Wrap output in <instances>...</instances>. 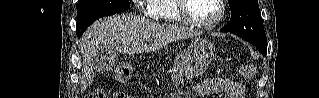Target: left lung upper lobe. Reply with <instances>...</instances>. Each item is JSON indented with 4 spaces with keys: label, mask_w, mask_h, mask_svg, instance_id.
Masks as SVG:
<instances>
[{
    "label": "left lung upper lobe",
    "mask_w": 319,
    "mask_h": 98,
    "mask_svg": "<svg viewBox=\"0 0 319 98\" xmlns=\"http://www.w3.org/2000/svg\"><path fill=\"white\" fill-rule=\"evenodd\" d=\"M231 20L222 29L232 32L255 46H267L258 0H228Z\"/></svg>",
    "instance_id": "5c2ea615"
}]
</instances>
